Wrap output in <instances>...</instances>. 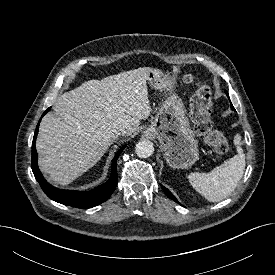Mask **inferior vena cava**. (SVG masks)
<instances>
[{"mask_svg": "<svg viewBox=\"0 0 275 275\" xmlns=\"http://www.w3.org/2000/svg\"><path fill=\"white\" fill-rule=\"evenodd\" d=\"M127 134V130L126 129H124V128H120L117 132H116V135H122V136H124V135H126Z\"/></svg>", "mask_w": 275, "mask_h": 275, "instance_id": "1", "label": "inferior vena cava"}]
</instances>
